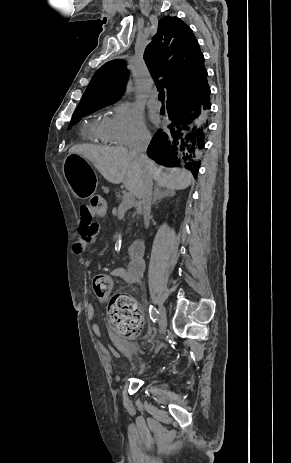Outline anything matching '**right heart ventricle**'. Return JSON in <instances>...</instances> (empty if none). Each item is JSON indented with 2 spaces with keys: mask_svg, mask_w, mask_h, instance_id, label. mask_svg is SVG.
Returning <instances> with one entry per match:
<instances>
[{
  "mask_svg": "<svg viewBox=\"0 0 291 463\" xmlns=\"http://www.w3.org/2000/svg\"><path fill=\"white\" fill-rule=\"evenodd\" d=\"M110 118L102 116L85 124L83 134L86 139L97 143H114L109 132Z\"/></svg>",
  "mask_w": 291,
  "mask_h": 463,
  "instance_id": "e07e8e85",
  "label": "right heart ventricle"
}]
</instances>
